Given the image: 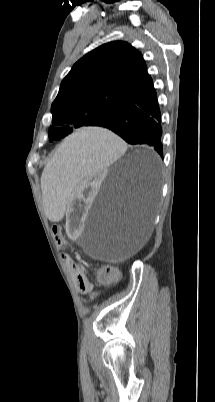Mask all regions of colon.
I'll list each match as a JSON object with an SVG mask.
<instances>
[{"mask_svg":"<svg viewBox=\"0 0 215 402\" xmlns=\"http://www.w3.org/2000/svg\"><path fill=\"white\" fill-rule=\"evenodd\" d=\"M60 228H61V225L59 223H56L52 227L53 236L55 238V240L53 241V244L55 246H61V247L65 246L66 251L68 253H71L73 251V248L69 244V241L65 237H63V234L61 233ZM69 265H70L71 269L77 275H81L84 273L83 268L75 261L69 260ZM97 277L100 282L107 283V282L117 280L119 277V272L113 266H104L97 271Z\"/></svg>","mask_w":215,"mask_h":402,"instance_id":"obj_1","label":"colon"}]
</instances>
